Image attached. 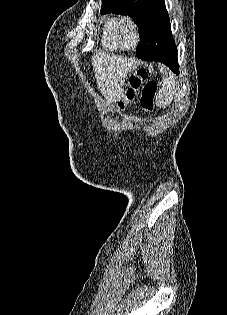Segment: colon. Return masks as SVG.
Wrapping results in <instances>:
<instances>
[{"label":"colon","instance_id":"1","mask_svg":"<svg viewBox=\"0 0 227 315\" xmlns=\"http://www.w3.org/2000/svg\"><path fill=\"white\" fill-rule=\"evenodd\" d=\"M139 91H141L140 103L142 108L151 112L154 108L157 83L155 80L148 79V73L143 68L137 69L129 75L124 98L120 102V106L124 107L126 103L133 102Z\"/></svg>","mask_w":227,"mask_h":315}]
</instances>
